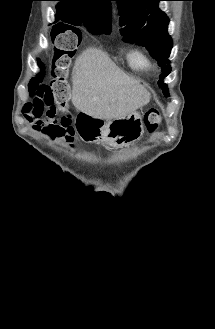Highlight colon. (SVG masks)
Listing matches in <instances>:
<instances>
[{
    "label": "colon",
    "instance_id": "obj_1",
    "mask_svg": "<svg viewBox=\"0 0 215 329\" xmlns=\"http://www.w3.org/2000/svg\"><path fill=\"white\" fill-rule=\"evenodd\" d=\"M80 25H56L51 31L54 51L51 66H45V56H34V67L40 68L41 73L36 74L30 81L31 93L29 102L24 107V114L49 116L63 114L59 126L66 131L72 139V119L66 102L69 96L67 72L71 59L76 49H81L83 37ZM161 122V117L156 109H150L144 116V126L148 132H154Z\"/></svg>",
    "mask_w": 215,
    "mask_h": 329
}]
</instances>
